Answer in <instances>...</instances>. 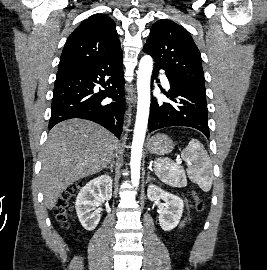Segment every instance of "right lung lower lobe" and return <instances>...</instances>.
<instances>
[{"instance_id": "obj_1", "label": "right lung lower lobe", "mask_w": 267, "mask_h": 270, "mask_svg": "<svg viewBox=\"0 0 267 270\" xmlns=\"http://www.w3.org/2000/svg\"><path fill=\"white\" fill-rule=\"evenodd\" d=\"M96 84L105 90L94 93ZM123 93L122 56L59 71L53 91L49 128L67 119L82 118L94 121L120 137L124 115ZM105 98H112L113 101L107 103Z\"/></svg>"}]
</instances>
